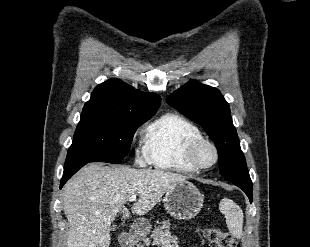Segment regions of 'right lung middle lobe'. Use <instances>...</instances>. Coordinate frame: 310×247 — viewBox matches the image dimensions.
<instances>
[{"instance_id":"1","label":"right lung middle lobe","mask_w":310,"mask_h":247,"mask_svg":"<svg viewBox=\"0 0 310 247\" xmlns=\"http://www.w3.org/2000/svg\"><path fill=\"white\" fill-rule=\"evenodd\" d=\"M151 117L81 114L65 167L89 162L120 164L129 152L136 129Z\"/></svg>"}]
</instances>
